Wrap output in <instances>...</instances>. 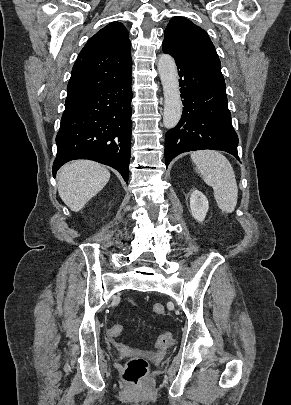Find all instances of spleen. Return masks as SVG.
<instances>
[{"label":"spleen","instance_id":"spleen-1","mask_svg":"<svg viewBox=\"0 0 291 405\" xmlns=\"http://www.w3.org/2000/svg\"><path fill=\"white\" fill-rule=\"evenodd\" d=\"M196 172L214 190L218 207L225 213H232L237 204L238 188L233 168L221 153L204 150L191 154Z\"/></svg>","mask_w":291,"mask_h":405}]
</instances>
